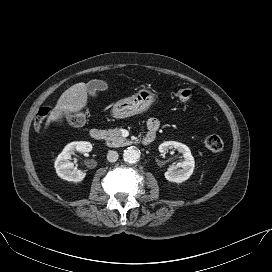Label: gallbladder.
I'll list each match as a JSON object with an SVG mask.
<instances>
[{"label":"gallbladder","mask_w":272,"mask_h":272,"mask_svg":"<svg viewBox=\"0 0 272 272\" xmlns=\"http://www.w3.org/2000/svg\"><path fill=\"white\" fill-rule=\"evenodd\" d=\"M108 88V85L105 81L103 80H91L88 82L87 84V91L89 93V95L93 98H97L98 94L97 91L98 90H106Z\"/></svg>","instance_id":"1"}]
</instances>
